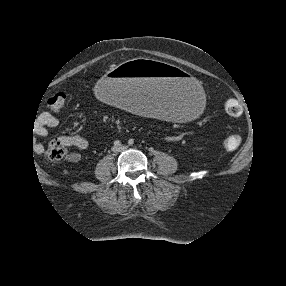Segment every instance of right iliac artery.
<instances>
[{
    "label": "right iliac artery",
    "mask_w": 286,
    "mask_h": 286,
    "mask_svg": "<svg viewBox=\"0 0 286 286\" xmlns=\"http://www.w3.org/2000/svg\"><path fill=\"white\" fill-rule=\"evenodd\" d=\"M114 145L118 147L121 145V142L119 140H116V141H114Z\"/></svg>",
    "instance_id": "right-iliac-artery-1"
}]
</instances>
